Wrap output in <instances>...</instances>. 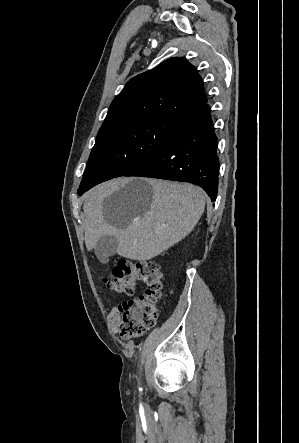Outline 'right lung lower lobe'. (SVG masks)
Listing matches in <instances>:
<instances>
[{
    "label": "right lung lower lobe",
    "mask_w": 299,
    "mask_h": 443,
    "mask_svg": "<svg viewBox=\"0 0 299 443\" xmlns=\"http://www.w3.org/2000/svg\"><path fill=\"white\" fill-rule=\"evenodd\" d=\"M217 137L205 103L180 120L155 154L123 176L152 177L200 185L214 201L218 190Z\"/></svg>",
    "instance_id": "98d812e1"
}]
</instances>
